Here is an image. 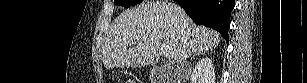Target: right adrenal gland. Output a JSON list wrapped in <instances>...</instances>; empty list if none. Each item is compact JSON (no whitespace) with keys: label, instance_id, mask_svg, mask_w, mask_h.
Here are the masks:
<instances>
[{"label":"right adrenal gland","instance_id":"obj_1","mask_svg":"<svg viewBox=\"0 0 307 83\" xmlns=\"http://www.w3.org/2000/svg\"><path fill=\"white\" fill-rule=\"evenodd\" d=\"M205 54H207V51L199 52V53L194 54L192 58H194L195 56H200V55H205Z\"/></svg>","mask_w":307,"mask_h":83}]
</instances>
